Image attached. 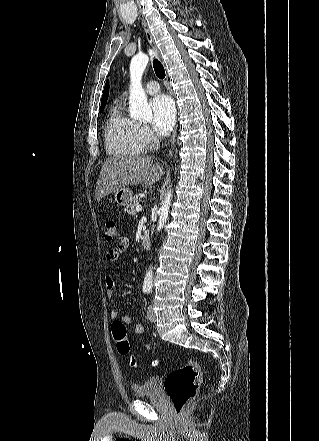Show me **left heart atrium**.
Listing matches in <instances>:
<instances>
[{
  "label": "left heart atrium",
  "mask_w": 319,
  "mask_h": 441,
  "mask_svg": "<svg viewBox=\"0 0 319 441\" xmlns=\"http://www.w3.org/2000/svg\"><path fill=\"white\" fill-rule=\"evenodd\" d=\"M152 128L159 135L168 134L175 122V105L173 100L164 94L155 96L151 102Z\"/></svg>",
  "instance_id": "1"
}]
</instances>
